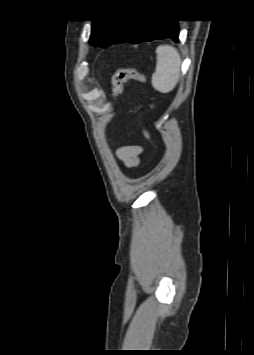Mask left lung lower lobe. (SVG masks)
Segmentation results:
<instances>
[{"mask_svg": "<svg viewBox=\"0 0 254 355\" xmlns=\"http://www.w3.org/2000/svg\"><path fill=\"white\" fill-rule=\"evenodd\" d=\"M178 36L179 28L177 20L153 18L130 19L122 35L115 43H139L164 38L178 41Z\"/></svg>", "mask_w": 254, "mask_h": 355, "instance_id": "obj_1", "label": "left lung lower lobe"}]
</instances>
